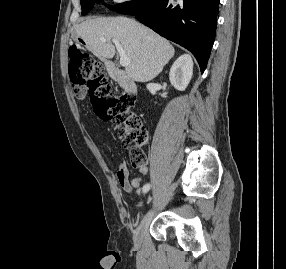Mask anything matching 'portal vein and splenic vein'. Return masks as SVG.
I'll return each mask as SVG.
<instances>
[{
    "mask_svg": "<svg viewBox=\"0 0 286 269\" xmlns=\"http://www.w3.org/2000/svg\"><path fill=\"white\" fill-rule=\"evenodd\" d=\"M102 42H106V39L104 38H101L100 39ZM112 42L115 44L116 46V49L120 55V65L123 66V67H126L130 64L131 60L130 58L126 55L122 45L120 44V42L117 40V39H112Z\"/></svg>",
    "mask_w": 286,
    "mask_h": 269,
    "instance_id": "obj_1",
    "label": "portal vein and splenic vein"
}]
</instances>
